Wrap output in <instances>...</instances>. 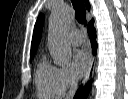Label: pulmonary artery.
<instances>
[{
	"instance_id": "pulmonary-artery-1",
	"label": "pulmonary artery",
	"mask_w": 128,
	"mask_h": 99,
	"mask_svg": "<svg viewBox=\"0 0 128 99\" xmlns=\"http://www.w3.org/2000/svg\"><path fill=\"white\" fill-rule=\"evenodd\" d=\"M69 38H70L71 43L74 45H81L85 41L84 34L78 29L71 30L69 33Z\"/></svg>"
}]
</instances>
